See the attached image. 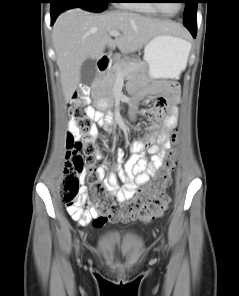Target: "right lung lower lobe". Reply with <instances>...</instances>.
<instances>
[{"instance_id":"right-lung-lower-lobe-1","label":"right lung lower lobe","mask_w":239,"mask_h":296,"mask_svg":"<svg viewBox=\"0 0 239 296\" xmlns=\"http://www.w3.org/2000/svg\"><path fill=\"white\" fill-rule=\"evenodd\" d=\"M63 8L64 7L62 6V3L60 0H57L56 2H54V5L51 6V24H53L57 16L62 11H64Z\"/></svg>"}]
</instances>
